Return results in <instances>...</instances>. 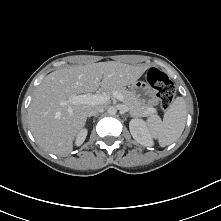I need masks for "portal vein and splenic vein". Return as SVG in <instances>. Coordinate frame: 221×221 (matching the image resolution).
<instances>
[{
	"mask_svg": "<svg viewBox=\"0 0 221 221\" xmlns=\"http://www.w3.org/2000/svg\"><path fill=\"white\" fill-rule=\"evenodd\" d=\"M112 96L119 101H123V96L117 91H114L112 93ZM110 99V96L108 94H83V95H77L73 96L70 100L69 103L71 104H89V105H99L106 103ZM69 113H72V109H68ZM151 112H154L153 108H150Z\"/></svg>",
	"mask_w": 221,
	"mask_h": 221,
	"instance_id": "18ae733b",
	"label": "portal vein and splenic vein"
}]
</instances>
